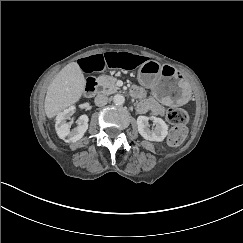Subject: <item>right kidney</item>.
Instances as JSON below:
<instances>
[{
  "mask_svg": "<svg viewBox=\"0 0 243 243\" xmlns=\"http://www.w3.org/2000/svg\"><path fill=\"white\" fill-rule=\"evenodd\" d=\"M76 109L71 107L67 110H64L61 114L58 115L56 119V132L60 139L64 140L66 143H74L82 139L84 134L88 130V115H81L77 120V127L70 131L67 121L70 120V117L75 113Z\"/></svg>",
  "mask_w": 243,
  "mask_h": 243,
  "instance_id": "obj_1",
  "label": "right kidney"
}]
</instances>
